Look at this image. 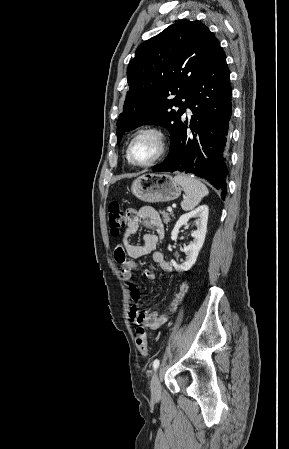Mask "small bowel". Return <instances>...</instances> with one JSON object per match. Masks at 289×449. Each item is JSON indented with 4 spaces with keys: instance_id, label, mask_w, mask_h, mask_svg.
<instances>
[{
    "instance_id": "c3829d8e",
    "label": "small bowel",
    "mask_w": 289,
    "mask_h": 449,
    "mask_svg": "<svg viewBox=\"0 0 289 449\" xmlns=\"http://www.w3.org/2000/svg\"><path fill=\"white\" fill-rule=\"evenodd\" d=\"M148 224L152 228V232H148L143 236L141 244L131 242V236L134 235L140 224ZM164 236V227L160 215L152 207H143L136 211L130 209L127 213V227L121 245H118L114 251L115 260L121 265V275L125 280H130L133 273L137 270L135 259L152 254L153 261L163 271H172V265L166 260L164 255L156 251L159 241ZM142 274L149 280L155 279V274L151 269L145 268ZM188 286L186 283L181 284L179 292L169 307V312L176 310L179 302L185 295ZM130 320L150 330H156L162 327L168 320V314H161L157 311H143L137 306H132L129 311Z\"/></svg>"
}]
</instances>
